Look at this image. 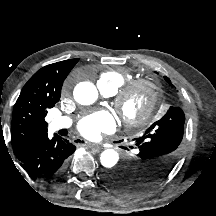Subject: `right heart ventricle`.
<instances>
[{"label": "right heart ventricle", "mask_w": 216, "mask_h": 216, "mask_svg": "<svg viewBox=\"0 0 216 216\" xmlns=\"http://www.w3.org/2000/svg\"><path fill=\"white\" fill-rule=\"evenodd\" d=\"M131 79L132 74L125 69H110L100 74L98 82L114 94Z\"/></svg>", "instance_id": "obj_1"}]
</instances>
